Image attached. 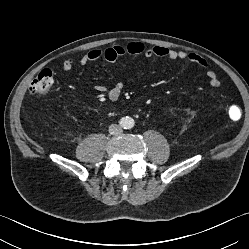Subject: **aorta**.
Segmentation results:
<instances>
[{"instance_id":"obj_1","label":"aorta","mask_w":249,"mask_h":249,"mask_svg":"<svg viewBox=\"0 0 249 249\" xmlns=\"http://www.w3.org/2000/svg\"><path fill=\"white\" fill-rule=\"evenodd\" d=\"M135 124V121L133 118L131 117H124L122 119V126L125 128V129H130L134 126Z\"/></svg>"}]
</instances>
